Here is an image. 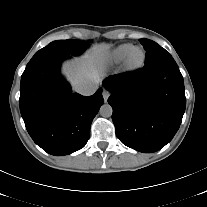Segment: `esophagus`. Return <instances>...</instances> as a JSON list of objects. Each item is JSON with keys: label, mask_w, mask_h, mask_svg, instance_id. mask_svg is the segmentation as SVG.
<instances>
[{"label": "esophagus", "mask_w": 207, "mask_h": 207, "mask_svg": "<svg viewBox=\"0 0 207 207\" xmlns=\"http://www.w3.org/2000/svg\"><path fill=\"white\" fill-rule=\"evenodd\" d=\"M102 96L104 98V101L106 102L108 100L109 96H110V92L107 91V90H103Z\"/></svg>", "instance_id": "esophagus-1"}]
</instances>
